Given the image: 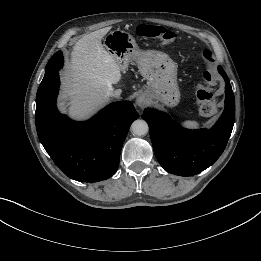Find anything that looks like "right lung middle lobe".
I'll return each mask as SVG.
<instances>
[{"label": "right lung middle lobe", "mask_w": 261, "mask_h": 261, "mask_svg": "<svg viewBox=\"0 0 261 261\" xmlns=\"http://www.w3.org/2000/svg\"><path fill=\"white\" fill-rule=\"evenodd\" d=\"M62 64H63V56L61 51H58L49 60L45 68L44 78L38 88V91L42 90L50 82L51 76L62 67Z\"/></svg>", "instance_id": "dd1d6c3e"}]
</instances>
